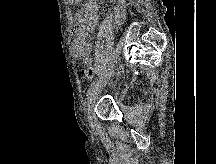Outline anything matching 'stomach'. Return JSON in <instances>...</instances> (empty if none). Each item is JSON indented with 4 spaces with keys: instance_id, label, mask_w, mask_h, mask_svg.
Instances as JSON below:
<instances>
[{
    "instance_id": "stomach-1",
    "label": "stomach",
    "mask_w": 216,
    "mask_h": 164,
    "mask_svg": "<svg viewBox=\"0 0 216 164\" xmlns=\"http://www.w3.org/2000/svg\"><path fill=\"white\" fill-rule=\"evenodd\" d=\"M81 0H71L72 3H78L80 2Z\"/></svg>"
}]
</instances>
